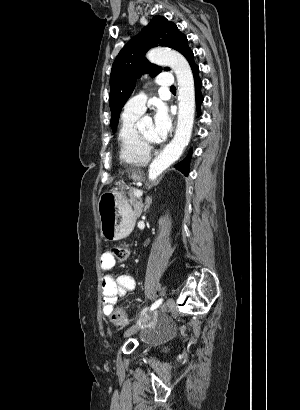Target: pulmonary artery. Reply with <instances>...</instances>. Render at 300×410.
Masks as SVG:
<instances>
[{
  "label": "pulmonary artery",
  "mask_w": 300,
  "mask_h": 410,
  "mask_svg": "<svg viewBox=\"0 0 300 410\" xmlns=\"http://www.w3.org/2000/svg\"><path fill=\"white\" fill-rule=\"evenodd\" d=\"M156 83L160 87H171L173 85V77L169 73H160L157 76ZM146 99L147 95L145 93H140L130 98L125 105V111L140 114L143 113Z\"/></svg>",
  "instance_id": "e3ab8cb5"
}]
</instances>
